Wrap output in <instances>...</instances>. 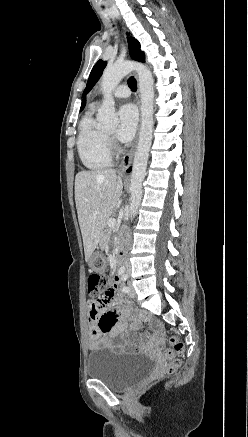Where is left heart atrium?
Here are the masks:
<instances>
[{
	"label": "left heart atrium",
	"mask_w": 248,
	"mask_h": 437,
	"mask_svg": "<svg viewBox=\"0 0 248 437\" xmlns=\"http://www.w3.org/2000/svg\"><path fill=\"white\" fill-rule=\"evenodd\" d=\"M119 125L116 138L120 142H129L136 131L138 112L133 104H125L119 109Z\"/></svg>",
	"instance_id": "1"
}]
</instances>
